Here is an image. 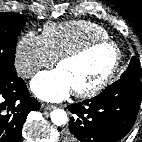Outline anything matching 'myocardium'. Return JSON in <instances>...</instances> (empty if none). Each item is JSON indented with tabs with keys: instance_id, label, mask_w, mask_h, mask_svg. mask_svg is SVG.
<instances>
[{
	"instance_id": "obj_1",
	"label": "myocardium",
	"mask_w": 142,
	"mask_h": 142,
	"mask_svg": "<svg viewBox=\"0 0 142 142\" xmlns=\"http://www.w3.org/2000/svg\"><path fill=\"white\" fill-rule=\"evenodd\" d=\"M99 46H109L113 49L115 54L113 64L107 74L96 84L85 89L74 90L75 95L78 97L95 96L110 84L118 72L122 60V52L119 45L111 39H93L73 50L63 53L56 59V66L58 67L61 63L78 59Z\"/></svg>"
}]
</instances>
